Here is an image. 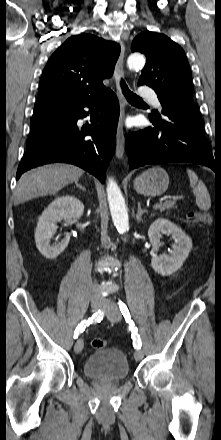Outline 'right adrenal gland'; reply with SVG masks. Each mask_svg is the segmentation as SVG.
<instances>
[{"instance_id":"right-adrenal-gland-1","label":"right adrenal gland","mask_w":221,"mask_h":440,"mask_svg":"<svg viewBox=\"0 0 221 440\" xmlns=\"http://www.w3.org/2000/svg\"><path fill=\"white\" fill-rule=\"evenodd\" d=\"M76 186L79 187L80 189H82L83 191H86L85 187H83L82 185H80L77 181L75 182Z\"/></svg>"}]
</instances>
